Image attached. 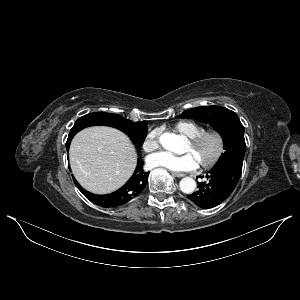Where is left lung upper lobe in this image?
<instances>
[{"label":"left lung upper lobe","mask_w":300,"mask_h":300,"mask_svg":"<svg viewBox=\"0 0 300 300\" xmlns=\"http://www.w3.org/2000/svg\"><path fill=\"white\" fill-rule=\"evenodd\" d=\"M180 118H192L209 123L222 136L224 154L219 161H243L245 154L244 127L235 112L220 106H204L186 110Z\"/></svg>","instance_id":"left-lung-upper-lobe-1"}]
</instances>
